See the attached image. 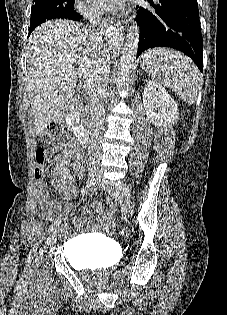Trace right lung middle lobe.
<instances>
[{
	"label": "right lung middle lobe",
	"mask_w": 227,
	"mask_h": 315,
	"mask_svg": "<svg viewBox=\"0 0 227 315\" xmlns=\"http://www.w3.org/2000/svg\"><path fill=\"white\" fill-rule=\"evenodd\" d=\"M73 5V0H33L29 33L47 20L70 19Z\"/></svg>",
	"instance_id": "right-lung-middle-lobe-1"
}]
</instances>
